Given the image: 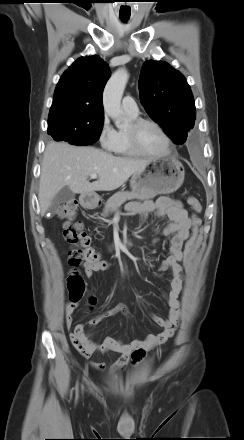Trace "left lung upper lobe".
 <instances>
[{
  "instance_id": "1",
  "label": "left lung upper lobe",
  "mask_w": 244,
  "mask_h": 440,
  "mask_svg": "<svg viewBox=\"0 0 244 440\" xmlns=\"http://www.w3.org/2000/svg\"><path fill=\"white\" fill-rule=\"evenodd\" d=\"M139 91L150 117L163 126L174 143H184L196 118L193 95L185 77L166 62L150 60L141 69Z\"/></svg>"
}]
</instances>
